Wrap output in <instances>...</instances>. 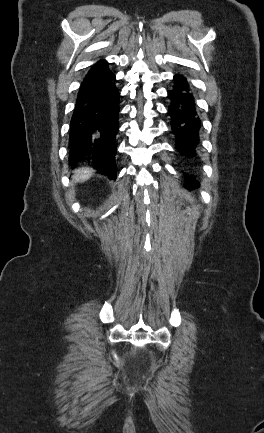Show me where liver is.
Instances as JSON below:
<instances>
[{"label": "liver", "mask_w": 264, "mask_h": 433, "mask_svg": "<svg viewBox=\"0 0 264 433\" xmlns=\"http://www.w3.org/2000/svg\"><path fill=\"white\" fill-rule=\"evenodd\" d=\"M93 172H94L93 170L88 169V168H81V169L75 170L73 179L75 181L83 182V181L89 179L91 177V175L93 174Z\"/></svg>", "instance_id": "1"}]
</instances>
